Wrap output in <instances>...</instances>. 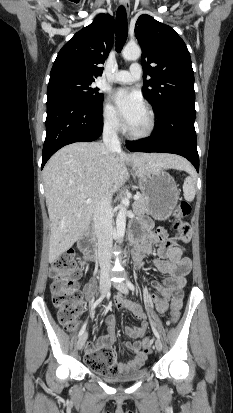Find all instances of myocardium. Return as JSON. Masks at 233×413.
Wrapping results in <instances>:
<instances>
[{
    "label": "myocardium",
    "instance_id": "f54148a6",
    "mask_svg": "<svg viewBox=\"0 0 233 413\" xmlns=\"http://www.w3.org/2000/svg\"><path fill=\"white\" fill-rule=\"evenodd\" d=\"M145 113L147 118L146 126L141 131L131 130L129 127L126 129V134L129 138L134 140H141L150 137L156 128V117L153 110L149 107H145Z\"/></svg>",
    "mask_w": 233,
    "mask_h": 413
}]
</instances>
